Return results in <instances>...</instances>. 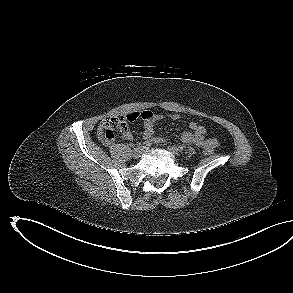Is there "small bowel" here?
I'll use <instances>...</instances> for the list:
<instances>
[{"label":"small bowel","instance_id":"1","mask_svg":"<svg viewBox=\"0 0 293 293\" xmlns=\"http://www.w3.org/2000/svg\"><path fill=\"white\" fill-rule=\"evenodd\" d=\"M129 122L134 121L138 118L143 120L144 132L143 136L146 140L152 142H162V139L154 137V126L157 122L163 120L165 116L163 114L154 113L150 110H144L141 112H132L124 116ZM173 120H178L180 118L179 114L171 115ZM189 127L191 131L182 133L181 140L184 143L192 144L198 147L207 148L212 147L213 149L218 146V141L216 139H207V130L203 125L197 122H190ZM123 138L126 140H133L132 133L127 130L123 133Z\"/></svg>","mask_w":293,"mask_h":293}]
</instances>
